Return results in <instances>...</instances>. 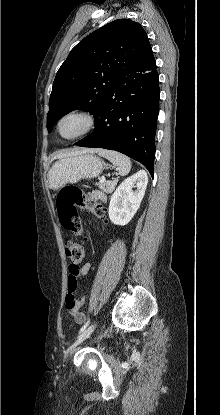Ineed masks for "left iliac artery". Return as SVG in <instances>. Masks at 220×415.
<instances>
[{
    "label": "left iliac artery",
    "mask_w": 220,
    "mask_h": 415,
    "mask_svg": "<svg viewBox=\"0 0 220 415\" xmlns=\"http://www.w3.org/2000/svg\"><path fill=\"white\" fill-rule=\"evenodd\" d=\"M89 323H90V319H88L87 322L81 327L79 333L83 332L87 328V326L89 325Z\"/></svg>",
    "instance_id": "1"
}]
</instances>
